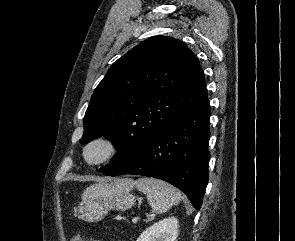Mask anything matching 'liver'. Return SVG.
Wrapping results in <instances>:
<instances>
[{
    "label": "liver",
    "instance_id": "liver-1",
    "mask_svg": "<svg viewBox=\"0 0 295 241\" xmlns=\"http://www.w3.org/2000/svg\"><path fill=\"white\" fill-rule=\"evenodd\" d=\"M127 182L133 184V181L130 179H128Z\"/></svg>",
    "mask_w": 295,
    "mask_h": 241
}]
</instances>
